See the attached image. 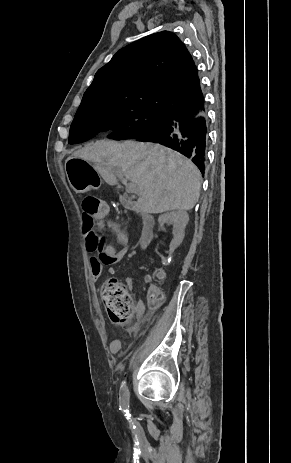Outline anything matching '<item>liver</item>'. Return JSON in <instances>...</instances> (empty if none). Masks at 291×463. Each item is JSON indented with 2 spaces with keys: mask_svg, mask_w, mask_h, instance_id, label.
<instances>
[{
  "mask_svg": "<svg viewBox=\"0 0 291 463\" xmlns=\"http://www.w3.org/2000/svg\"><path fill=\"white\" fill-rule=\"evenodd\" d=\"M70 158L93 163L111 186L117 184V168L136 184L138 208L148 214L191 210L198 202L201 173L181 154L153 143L100 140L75 151Z\"/></svg>",
  "mask_w": 291,
  "mask_h": 463,
  "instance_id": "obj_1",
  "label": "liver"
}]
</instances>
